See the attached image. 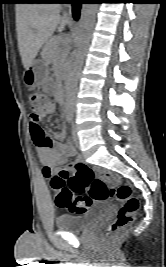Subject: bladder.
Returning <instances> with one entry per match:
<instances>
[{
    "instance_id": "obj_1",
    "label": "bladder",
    "mask_w": 166,
    "mask_h": 267,
    "mask_svg": "<svg viewBox=\"0 0 166 267\" xmlns=\"http://www.w3.org/2000/svg\"><path fill=\"white\" fill-rule=\"evenodd\" d=\"M95 222V214H64L56 218L55 224L61 231L82 232L89 229Z\"/></svg>"
}]
</instances>
